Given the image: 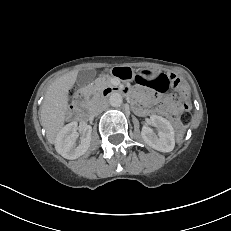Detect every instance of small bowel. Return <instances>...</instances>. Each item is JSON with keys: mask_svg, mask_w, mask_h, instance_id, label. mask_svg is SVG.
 Returning <instances> with one entry per match:
<instances>
[{"mask_svg": "<svg viewBox=\"0 0 231 231\" xmlns=\"http://www.w3.org/2000/svg\"><path fill=\"white\" fill-rule=\"evenodd\" d=\"M174 76L165 73H145L142 72L138 75L137 81L139 84L150 87L158 93L167 91L174 85ZM168 107L171 111H178L179 107L172 98H167ZM144 113L153 112L150 109H144Z\"/></svg>", "mask_w": 231, "mask_h": 231, "instance_id": "1", "label": "small bowel"}]
</instances>
